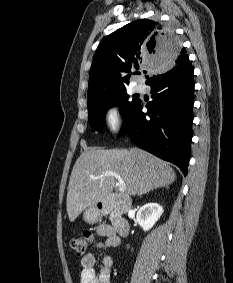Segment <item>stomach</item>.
I'll use <instances>...</instances> for the list:
<instances>
[{"mask_svg": "<svg viewBox=\"0 0 233 283\" xmlns=\"http://www.w3.org/2000/svg\"><path fill=\"white\" fill-rule=\"evenodd\" d=\"M102 213L101 211L97 208V206H92L87 209H85L83 213V218L86 222L93 224L99 220L101 217Z\"/></svg>", "mask_w": 233, "mask_h": 283, "instance_id": "obj_1", "label": "stomach"}]
</instances>
